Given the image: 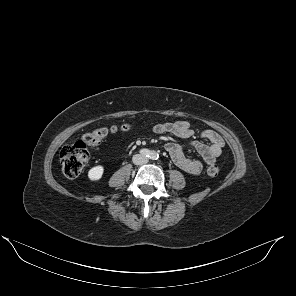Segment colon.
<instances>
[{
  "mask_svg": "<svg viewBox=\"0 0 296 296\" xmlns=\"http://www.w3.org/2000/svg\"><path fill=\"white\" fill-rule=\"evenodd\" d=\"M129 128L130 125L127 123L100 127L84 134L75 143L63 147L60 153V160L64 174L67 177L73 178L81 173L89 158L88 145L97 144L106 136L120 131H126ZM206 173L209 176L217 175L219 173V166L217 164L210 165Z\"/></svg>",
  "mask_w": 296,
  "mask_h": 296,
  "instance_id": "5ec220e1",
  "label": "colon"
}]
</instances>
